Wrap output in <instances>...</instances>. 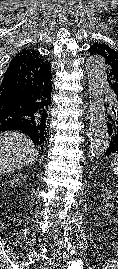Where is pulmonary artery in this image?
<instances>
[{
  "label": "pulmonary artery",
  "mask_w": 118,
  "mask_h": 269,
  "mask_svg": "<svg viewBox=\"0 0 118 269\" xmlns=\"http://www.w3.org/2000/svg\"><path fill=\"white\" fill-rule=\"evenodd\" d=\"M109 98H110V101H111L112 103H116V99H115L114 94L110 93V94H109Z\"/></svg>",
  "instance_id": "obj_1"
}]
</instances>
